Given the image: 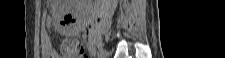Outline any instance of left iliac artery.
<instances>
[{"mask_svg":"<svg viewBox=\"0 0 225 58\" xmlns=\"http://www.w3.org/2000/svg\"><path fill=\"white\" fill-rule=\"evenodd\" d=\"M89 50H92L93 51V47L89 46Z\"/></svg>","mask_w":225,"mask_h":58,"instance_id":"1","label":"left iliac artery"}]
</instances>
